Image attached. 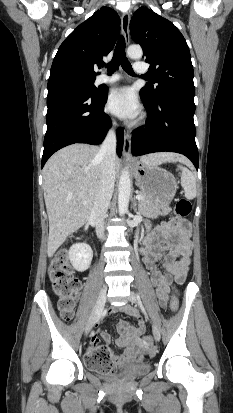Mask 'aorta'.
<instances>
[{"label":"aorta","mask_w":233,"mask_h":413,"mask_svg":"<svg viewBox=\"0 0 233 413\" xmlns=\"http://www.w3.org/2000/svg\"><path fill=\"white\" fill-rule=\"evenodd\" d=\"M127 55L131 59H140L143 55L142 48L138 45H132L127 49ZM130 193V175L128 169L124 168L121 172L118 184V211L121 216L128 211Z\"/></svg>","instance_id":"1"}]
</instances>
